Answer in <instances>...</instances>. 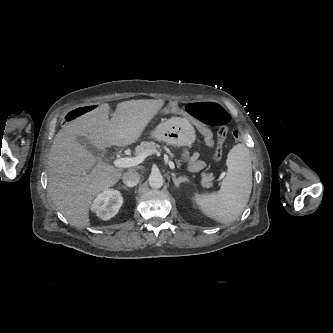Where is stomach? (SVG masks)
Returning <instances> with one entry per match:
<instances>
[{"label":"stomach","instance_id":"0dacf381","mask_svg":"<svg viewBox=\"0 0 333 333\" xmlns=\"http://www.w3.org/2000/svg\"><path fill=\"white\" fill-rule=\"evenodd\" d=\"M152 136L161 142L174 146H187L195 142L196 134L193 125L187 119L173 117L160 123Z\"/></svg>","mask_w":333,"mask_h":333}]
</instances>
